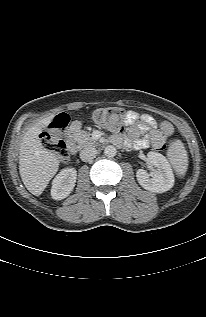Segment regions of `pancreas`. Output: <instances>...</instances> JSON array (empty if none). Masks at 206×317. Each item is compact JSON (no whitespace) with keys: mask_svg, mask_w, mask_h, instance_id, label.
<instances>
[{"mask_svg":"<svg viewBox=\"0 0 206 317\" xmlns=\"http://www.w3.org/2000/svg\"><path fill=\"white\" fill-rule=\"evenodd\" d=\"M73 139L80 147L92 146L96 143L95 140L91 138L90 133L84 130L74 131Z\"/></svg>","mask_w":206,"mask_h":317,"instance_id":"1","label":"pancreas"}]
</instances>
